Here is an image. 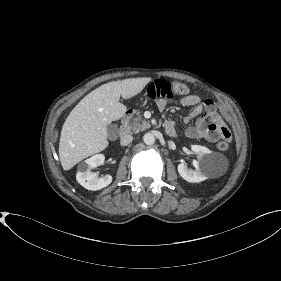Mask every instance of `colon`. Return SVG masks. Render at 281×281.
Returning <instances> with one entry per match:
<instances>
[{
    "label": "colon",
    "mask_w": 281,
    "mask_h": 281,
    "mask_svg": "<svg viewBox=\"0 0 281 281\" xmlns=\"http://www.w3.org/2000/svg\"><path fill=\"white\" fill-rule=\"evenodd\" d=\"M188 91L187 86L184 83L174 81L169 82L166 80L154 81L148 88V95L151 98H166L174 99L179 95L186 94ZM224 138L218 142L217 147L220 150H226L229 147V141L231 139V134L229 130L225 129L223 131Z\"/></svg>",
    "instance_id": "obj_1"
}]
</instances>
